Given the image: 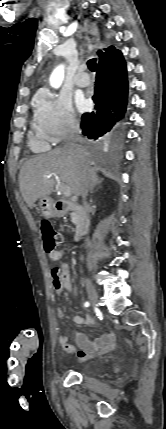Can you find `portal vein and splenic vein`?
<instances>
[{"instance_id":"portal-vein-and-splenic-vein-1","label":"portal vein and splenic vein","mask_w":166,"mask_h":429,"mask_svg":"<svg viewBox=\"0 0 166 429\" xmlns=\"http://www.w3.org/2000/svg\"><path fill=\"white\" fill-rule=\"evenodd\" d=\"M60 191L65 197L71 196V189L68 185H63L60 187Z\"/></svg>"}]
</instances>
